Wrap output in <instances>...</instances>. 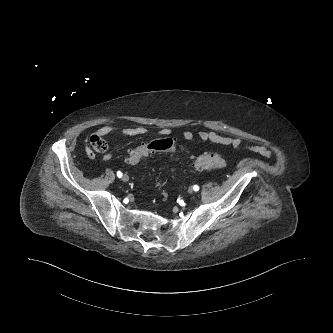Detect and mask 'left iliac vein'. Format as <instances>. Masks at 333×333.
<instances>
[{"label": "left iliac vein", "instance_id": "1", "mask_svg": "<svg viewBox=\"0 0 333 333\" xmlns=\"http://www.w3.org/2000/svg\"><path fill=\"white\" fill-rule=\"evenodd\" d=\"M193 191H194V189H193L192 186L188 188V192H189V193H192Z\"/></svg>", "mask_w": 333, "mask_h": 333}]
</instances>
